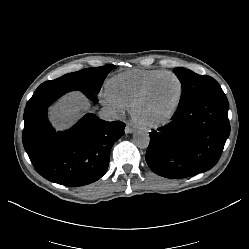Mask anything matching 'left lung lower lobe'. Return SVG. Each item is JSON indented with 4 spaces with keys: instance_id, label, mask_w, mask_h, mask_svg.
Masks as SVG:
<instances>
[{
    "instance_id": "obj_1",
    "label": "left lung lower lobe",
    "mask_w": 249,
    "mask_h": 249,
    "mask_svg": "<svg viewBox=\"0 0 249 249\" xmlns=\"http://www.w3.org/2000/svg\"><path fill=\"white\" fill-rule=\"evenodd\" d=\"M224 94L197 97L175 112L171 122L150 134L146 162L156 174L179 179L211 169L230 134Z\"/></svg>"
}]
</instances>
